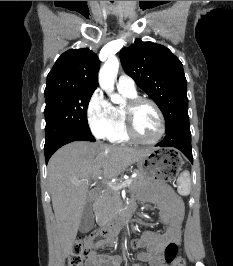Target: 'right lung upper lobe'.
Here are the masks:
<instances>
[{"instance_id": "1", "label": "right lung upper lobe", "mask_w": 233, "mask_h": 266, "mask_svg": "<svg viewBox=\"0 0 233 266\" xmlns=\"http://www.w3.org/2000/svg\"><path fill=\"white\" fill-rule=\"evenodd\" d=\"M99 67L97 55L88 48L64 52L47 76L45 98L64 93L95 91Z\"/></svg>"}]
</instances>
